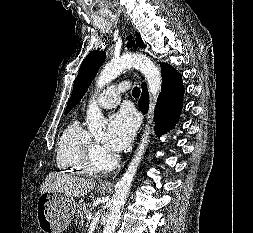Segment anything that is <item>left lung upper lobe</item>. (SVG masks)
Returning <instances> with one entry per match:
<instances>
[{
    "mask_svg": "<svg viewBox=\"0 0 253 233\" xmlns=\"http://www.w3.org/2000/svg\"><path fill=\"white\" fill-rule=\"evenodd\" d=\"M128 40H129L127 44L128 48H130L131 46H133L134 48L144 46L141 40V36L138 33H136L135 41L132 40V36H129ZM105 58H106L105 52L99 50H93L87 55V57L81 64L79 74L75 79L72 95L67 103L65 114H68L71 111V109L84 96L90 83L92 82V79L97 74V71L103 64Z\"/></svg>",
    "mask_w": 253,
    "mask_h": 233,
    "instance_id": "obj_1",
    "label": "left lung upper lobe"
}]
</instances>
